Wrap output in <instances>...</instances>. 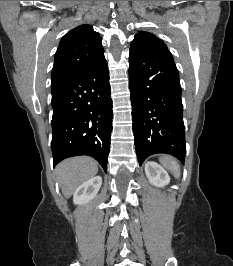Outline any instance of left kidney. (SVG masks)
Returning <instances> with one entry per match:
<instances>
[{
	"label": "left kidney",
	"mask_w": 233,
	"mask_h": 266,
	"mask_svg": "<svg viewBox=\"0 0 233 266\" xmlns=\"http://www.w3.org/2000/svg\"><path fill=\"white\" fill-rule=\"evenodd\" d=\"M145 173L149 182L156 187H164L170 182L168 173L155 162L150 161L146 163Z\"/></svg>",
	"instance_id": "5707ae66"
}]
</instances>
